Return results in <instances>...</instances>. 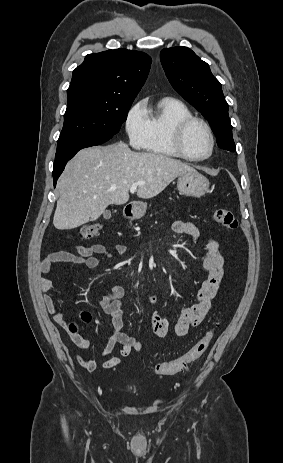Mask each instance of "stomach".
<instances>
[{
    "mask_svg": "<svg viewBox=\"0 0 283 463\" xmlns=\"http://www.w3.org/2000/svg\"><path fill=\"white\" fill-rule=\"evenodd\" d=\"M209 181L197 171L187 173L178 177L177 188L185 196L201 197L209 189ZM147 209V204L138 202L133 205L131 214L134 218L142 217Z\"/></svg>",
    "mask_w": 283,
    "mask_h": 463,
    "instance_id": "stomach-1",
    "label": "stomach"
}]
</instances>
